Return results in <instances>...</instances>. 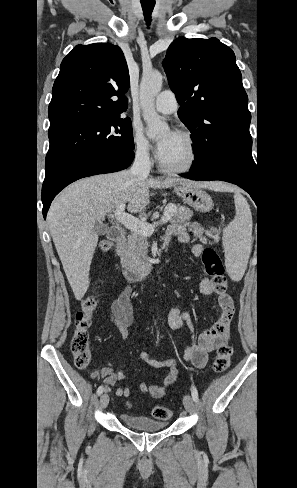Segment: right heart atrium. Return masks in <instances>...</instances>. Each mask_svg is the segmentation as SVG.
<instances>
[{
    "instance_id": "1",
    "label": "right heart atrium",
    "mask_w": 297,
    "mask_h": 488,
    "mask_svg": "<svg viewBox=\"0 0 297 488\" xmlns=\"http://www.w3.org/2000/svg\"><path fill=\"white\" fill-rule=\"evenodd\" d=\"M131 141L136 156L149 159L153 154V145L145 136L143 129L138 125L132 126Z\"/></svg>"
}]
</instances>
